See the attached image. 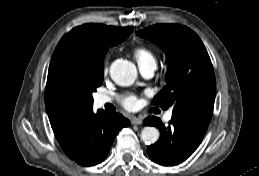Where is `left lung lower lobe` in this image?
I'll return each instance as SVG.
<instances>
[{"label": "left lung lower lobe", "instance_id": "1", "mask_svg": "<svg viewBox=\"0 0 259 176\" xmlns=\"http://www.w3.org/2000/svg\"><path fill=\"white\" fill-rule=\"evenodd\" d=\"M144 124L160 130V139L149 146L147 152L154 162L165 166L185 161L200 145L209 125L191 117L176 115H172L168 127L156 117L146 118Z\"/></svg>", "mask_w": 259, "mask_h": 176}]
</instances>
